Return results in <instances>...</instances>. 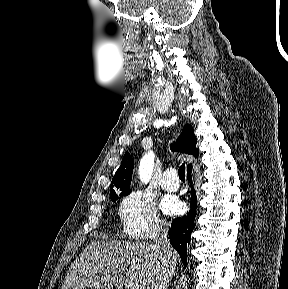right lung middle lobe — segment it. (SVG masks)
Wrapping results in <instances>:
<instances>
[{
	"mask_svg": "<svg viewBox=\"0 0 288 289\" xmlns=\"http://www.w3.org/2000/svg\"><path fill=\"white\" fill-rule=\"evenodd\" d=\"M119 193V196H126L128 194H130L131 190L128 191H117ZM110 197L112 201H116L118 199V194L116 193V191H112L110 192Z\"/></svg>",
	"mask_w": 288,
	"mask_h": 289,
	"instance_id": "1",
	"label": "right lung middle lobe"
}]
</instances>
